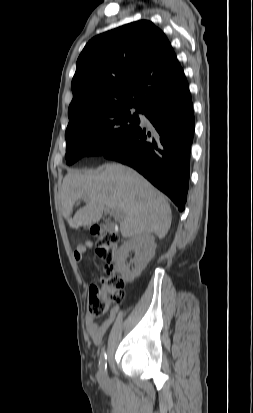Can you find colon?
Segmentation results:
<instances>
[{
  "mask_svg": "<svg viewBox=\"0 0 253 413\" xmlns=\"http://www.w3.org/2000/svg\"><path fill=\"white\" fill-rule=\"evenodd\" d=\"M96 238V254L104 261L105 275L98 284L89 288L88 315L94 318L103 316L112 304L120 303L124 298V282L119 278L112 264L119 237L116 233L106 232L100 226L90 227Z\"/></svg>",
  "mask_w": 253,
  "mask_h": 413,
  "instance_id": "obj_1",
  "label": "colon"
}]
</instances>
